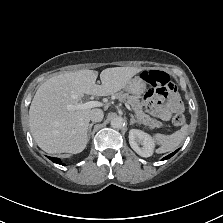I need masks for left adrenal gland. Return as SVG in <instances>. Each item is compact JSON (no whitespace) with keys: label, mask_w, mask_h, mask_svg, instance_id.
<instances>
[{"label":"left adrenal gland","mask_w":223,"mask_h":223,"mask_svg":"<svg viewBox=\"0 0 223 223\" xmlns=\"http://www.w3.org/2000/svg\"><path fill=\"white\" fill-rule=\"evenodd\" d=\"M130 117H131V119H130V125H132L134 123H140L141 122L139 119L136 120L134 118L133 114H130Z\"/></svg>","instance_id":"a2214340"}]
</instances>
